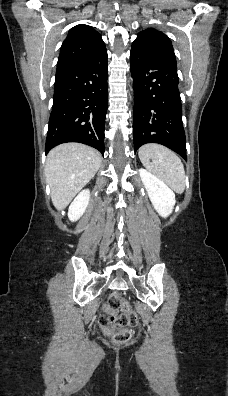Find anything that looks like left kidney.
Masks as SVG:
<instances>
[{"label": "left kidney", "mask_w": 228, "mask_h": 396, "mask_svg": "<svg viewBox=\"0 0 228 396\" xmlns=\"http://www.w3.org/2000/svg\"><path fill=\"white\" fill-rule=\"evenodd\" d=\"M139 175L154 209L164 218L169 216L176 202L174 192L163 181L145 169H139Z\"/></svg>", "instance_id": "obj_1"}]
</instances>
